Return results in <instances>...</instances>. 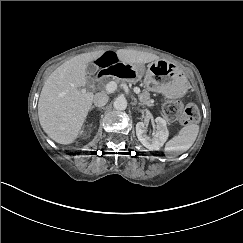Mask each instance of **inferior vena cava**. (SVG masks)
Here are the masks:
<instances>
[{
  "instance_id": "602c4592",
  "label": "inferior vena cava",
  "mask_w": 243,
  "mask_h": 243,
  "mask_svg": "<svg viewBox=\"0 0 243 243\" xmlns=\"http://www.w3.org/2000/svg\"><path fill=\"white\" fill-rule=\"evenodd\" d=\"M108 95L105 94V93H97L95 96H94V99H93V103L95 104V106H104L107 104L108 102Z\"/></svg>"
}]
</instances>
